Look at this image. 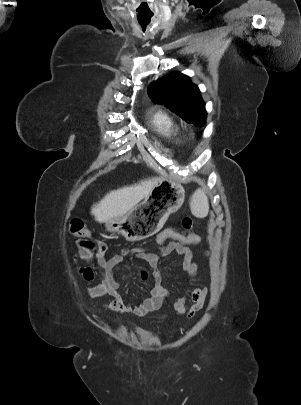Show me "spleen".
Instances as JSON below:
<instances>
[{
    "instance_id": "obj_1",
    "label": "spleen",
    "mask_w": 301,
    "mask_h": 405,
    "mask_svg": "<svg viewBox=\"0 0 301 405\" xmlns=\"http://www.w3.org/2000/svg\"><path fill=\"white\" fill-rule=\"evenodd\" d=\"M191 212L198 218H204L208 215L209 203L203 189L195 191L190 202Z\"/></svg>"
}]
</instances>
